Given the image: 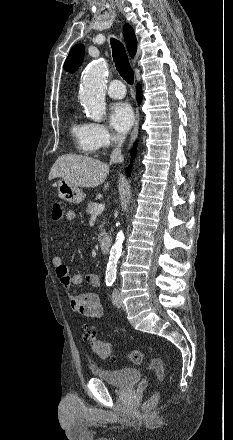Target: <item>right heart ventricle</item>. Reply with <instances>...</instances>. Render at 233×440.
I'll list each match as a JSON object with an SVG mask.
<instances>
[{
	"mask_svg": "<svg viewBox=\"0 0 233 440\" xmlns=\"http://www.w3.org/2000/svg\"><path fill=\"white\" fill-rule=\"evenodd\" d=\"M70 133L79 151L86 154L94 153L89 139L88 123L80 121L76 116L73 117L70 124Z\"/></svg>",
	"mask_w": 233,
	"mask_h": 440,
	"instance_id": "e07e8e85",
	"label": "right heart ventricle"
}]
</instances>
